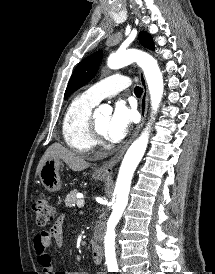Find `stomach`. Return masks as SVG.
<instances>
[{
	"mask_svg": "<svg viewBox=\"0 0 215 274\" xmlns=\"http://www.w3.org/2000/svg\"><path fill=\"white\" fill-rule=\"evenodd\" d=\"M61 165L62 162L59 158L51 157L45 161L39 172L40 181L49 192H56L61 189L62 182L59 176ZM93 177L98 180L107 179L106 176L97 173H94Z\"/></svg>",
	"mask_w": 215,
	"mask_h": 274,
	"instance_id": "obj_1",
	"label": "stomach"
}]
</instances>
